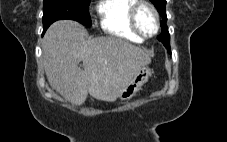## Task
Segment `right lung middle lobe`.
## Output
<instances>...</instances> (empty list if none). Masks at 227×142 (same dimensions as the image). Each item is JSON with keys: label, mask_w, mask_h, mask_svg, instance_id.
I'll return each instance as SVG.
<instances>
[{"label": "right lung middle lobe", "mask_w": 227, "mask_h": 142, "mask_svg": "<svg viewBox=\"0 0 227 142\" xmlns=\"http://www.w3.org/2000/svg\"><path fill=\"white\" fill-rule=\"evenodd\" d=\"M90 0H44L43 32L60 19L75 20L83 25L91 26L88 11Z\"/></svg>", "instance_id": "1"}]
</instances>
